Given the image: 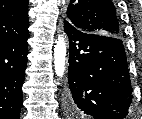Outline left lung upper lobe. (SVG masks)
I'll return each mask as SVG.
<instances>
[{
	"mask_svg": "<svg viewBox=\"0 0 142 119\" xmlns=\"http://www.w3.org/2000/svg\"><path fill=\"white\" fill-rule=\"evenodd\" d=\"M86 33L121 37V28L111 0H71L65 20Z\"/></svg>",
	"mask_w": 142,
	"mask_h": 119,
	"instance_id": "obj_1",
	"label": "left lung upper lobe"
}]
</instances>
